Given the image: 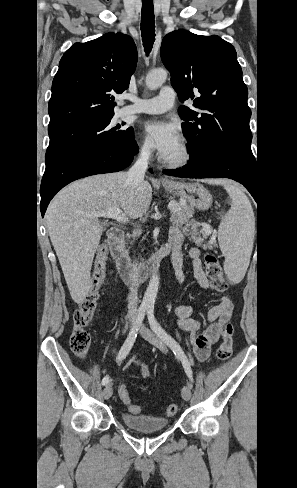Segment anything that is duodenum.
<instances>
[{
  "mask_svg": "<svg viewBox=\"0 0 297 488\" xmlns=\"http://www.w3.org/2000/svg\"><path fill=\"white\" fill-rule=\"evenodd\" d=\"M110 253L115 260L118 272L127 284H136L145 280L156 266L171 252L169 245L160 247L151 260L141 268H136L128 257L124 246V232L118 228L110 230L108 235Z\"/></svg>",
  "mask_w": 297,
  "mask_h": 488,
  "instance_id": "duodenum-1",
  "label": "duodenum"
}]
</instances>
